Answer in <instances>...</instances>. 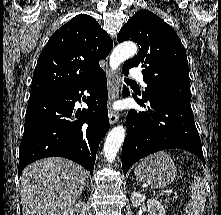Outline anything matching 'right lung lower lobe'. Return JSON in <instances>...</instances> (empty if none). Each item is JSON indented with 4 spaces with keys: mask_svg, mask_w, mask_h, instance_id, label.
Instances as JSON below:
<instances>
[{
    "mask_svg": "<svg viewBox=\"0 0 221 215\" xmlns=\"http://www.w3.org/2000/svg\"><path fill=\"white\" fill-rule=\"evenodd\" d=\"M85 91L90 94L85 101L88 109L74 110ZM108 130L107 79L102 69L67 90L29 100L18 176L28 164L51 156L73 160L92 175L99 143Z\"/></svg>",
    "mask_w": 221,
    "mask_h": 215,
    "instance_id": "1",
    "label": "right lung lower lobe"
}]
</instances>
